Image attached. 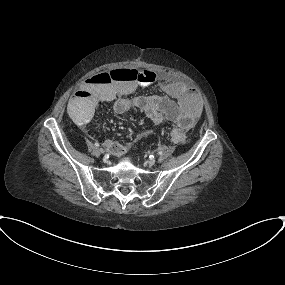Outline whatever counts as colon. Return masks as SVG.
<instances>
[{
    "label": "colon",
    "mask_w": 285,
    "mask_h": 285,
    "mask_svg": "<svg viewBox=\"0 0 285 285\" xmlns=\"http://www.w3.org/2000/svg\"><path fill=\"white\" fill-rule=\"evenodd\" d=\"M113 77L116 79H121L127 82H137L139 80L142 81H152L155 79L156 75L154 73L145 72V76H143L140 70L136 69H125V70H118L113 72ZM103 82L110 83V79H108L105 75H101ZM182 140V138L180 137Z\"/></svg>",
    "instance_id": "5ec220e1"
}]
</instances>
